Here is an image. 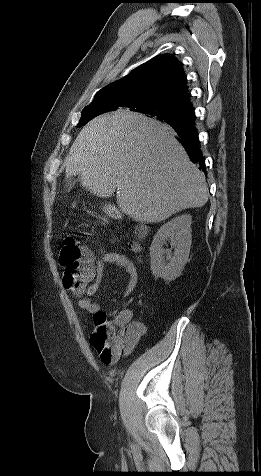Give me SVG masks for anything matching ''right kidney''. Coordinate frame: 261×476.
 <instances>
[{
    "label": "right kidney",
    "instance_id": "ca27d5eb",
    "mask_svg": "<svg viewBox=\"0 0 261 476\" xmlns=\"http://www.w3.org/2000/svg\"><path fill=\"white\" fill-rule=\"evenodd\" d=\"M191 223L192 217L185 214L175 217L158 229L150 246L151 271L155 277L172 281L181 275L192 243ZM166 240H169L174 248L173 255L171 250L163 248Z\"/></svg>",
    "mask_w": 261,
    "mask_h": 476
}]
</instances>
